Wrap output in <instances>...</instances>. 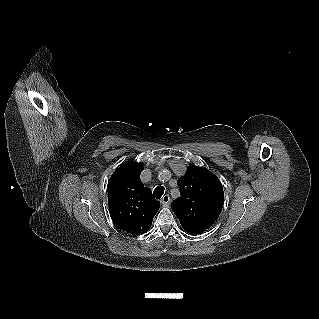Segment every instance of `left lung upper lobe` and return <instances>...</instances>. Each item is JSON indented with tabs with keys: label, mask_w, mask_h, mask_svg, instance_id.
<instances>
[{
	"label": "left lung upper lobe",
	"mask_w": 319,
	"mask_h": 319,
	"mask_svg": "<svg viewBox=\"0 0 319 319\" xmlns=\"http://www.w3.org/2000/svg\"><path fill=\"white\" fill-rule=\"evenodd\" d=\"M181 197L171 208L184 230L203 232L218 219L224 204L219 179L206 168L192 166L178 179Z\"/></svg>",
	"instance_id": "1"
}]
</instances>
